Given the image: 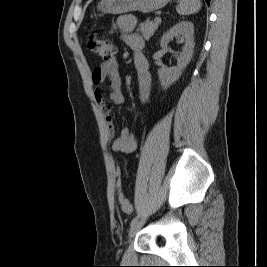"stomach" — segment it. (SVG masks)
<instances>
[{
    "label": "stomach",
    "instance_id": "obj_1",
    "mask_svg": "<svg viewBox=\"0 0 267 267\" xmlns=\"http://www.w3.org/2000/svg\"><path fill=\"white\" fill-rule=\"evenodd\" d=\"M170 0H101L97 9L102 13L123 14L131 11L150 13L165 7Z\"/></svg>",
    "mask_w": 267,
    "mask_h": 267
}]
</instances>
